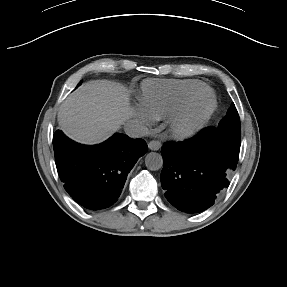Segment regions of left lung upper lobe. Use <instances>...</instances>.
Segmentation results:
<instances>
[{
	"instance_id": "1",
	"label": "left lung upper lobe",
	"mask_w": 287,
	"mask_h": 287,
	"mask_svg": "<svg viewBox=\"0 0 287 287\" xmlns=\"http://www.w3.org/2000/svg\"><path fill=\"white\" fill-rule=\"evenodd\" d=\"M217 129L233 137H241L240 119L234 103L231 104L226 116L220 121Z\"/></svg>"
}]
</instances>
